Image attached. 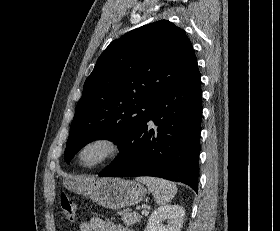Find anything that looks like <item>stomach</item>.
<instances>
[{
	"label": "stomach",
	"mask_w": 280,
	"mask_h": 231,
	"mask_svg": "<svg viewBox=\"0 0 280 231\" xmlns=\"http://www.w3.org/2000/svg\"><path fill=\"white\" fill-rule=\"evenodd\" d=\"M63 187L90 197L95 203L109 207V209H120L126 205H135L142 201L146 187L138 181L131 179H94V177H65L62 179Z\"/></svg>",
	"instance_id": "1"
}]
</instances>
